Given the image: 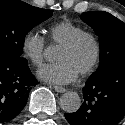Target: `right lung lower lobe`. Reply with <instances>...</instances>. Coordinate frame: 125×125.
Here are the masks:
<instances>
[{
  "label": "right lung lower lobe",
  "instance_id": "1",
  "mask_svg": "<svg viewBox=\"0 0 125 125\" xmlns=\"http://www.w3.org/2000/svg\"><path fill=\"white\" fill-rule=\"evenodd\" d=\"M0 51V123L16 117L27 103L33 86L38 84L27 61H12Z\"/></svg>",
  "mask_w": 125,
  "mask_h": 125
}]
</instances>
